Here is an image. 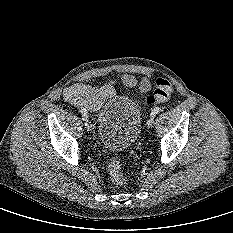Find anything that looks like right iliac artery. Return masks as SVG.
<instances>
[{
	"label": "right iliac artery",
	"instance_id": "82829eb1",
	"mask_svg": "<svg viewBox=\"0 0 233 233\" xmlns=\"http://www.w3.org/2000/svg\"><path fill=\"white\" fill-rule=\"evenodd\" d=\"M80 112H81L82 116L84 117V119H86L88 117L87 111L85 109H80Z\"/></svg>",
	"mask_w": 233,
	"mask_h": 233
}]
</instances>
